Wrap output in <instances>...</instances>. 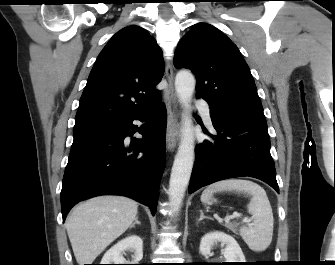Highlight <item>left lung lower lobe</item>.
Returning a JSON list of instances; mask_svg holds the SVG:
<instances>
[{
  "mask_svg": "<svg viewBox=\"0 0 335 265\" xmlns=\"http://www.w3.org/2000/svg\"><path fill=\"white\" fill-rule=\"evenodd\" d=\"M210 116L217 133H207L210 140L196 146L188 192L243 176L260 179L279 192L268 132L212 108Z\"/></svg>",
  "mask_w": 335,
  "mask_h": 265,
  "instance_id": "left-lung-lower-lobe-1",
  "label": "left lung lower lobe"
}]
</instances>
